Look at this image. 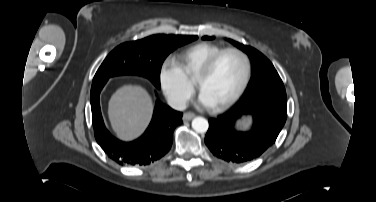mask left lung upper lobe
I'll return each instance as SVG.
<instances>
[{
	"mask_svg": "<svg viewBox=\"0 0 376 202\" xmlns=\"http://www.w3.org/2000/svg\"><path fill=\"white\" fill-rule=\"evenodd\" d=\"M202 39L212 40L214 37L204 36ZM229 41L247 53L253 62L252 77L241 102L252 100L259 96H269L287 102L283 82L272 63L256 49L231 39Z\"/></svg>",
	"mask_w": 376,
	"mask_h": 202,
	"instance_id": "obj_1",
	"label": "left lung upper lobe"
}]
</instances>
